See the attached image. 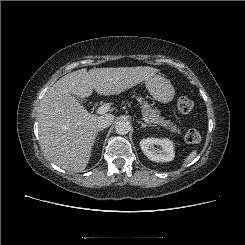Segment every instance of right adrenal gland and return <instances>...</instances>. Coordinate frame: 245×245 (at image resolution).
Masks as SVG:
<instances>
[{"label":"right adrenal gland","mask_w":245,"mask_h":245,"mask_svg":"<svg viewBox=\"0 0 245 245\" xmlns=\"http://www.w3.org/2000/svg\"><path fill=\"white\" fill-rule=\"evenodd\" d=\"M104 129H102V128H98L97 129V133H96V137H97V135H98V132H100V131H103Z\"/></svg>","instance_id":"right-adrenal-gland-1"}]
</instances>
